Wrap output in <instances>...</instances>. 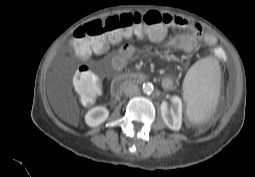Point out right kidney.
<instances>
[{"mask_svg": "<svg viewBox=\"0 0 255 177\" xmlns=\"http://www.w3.org/2000/svg\"><path fill=\"white\" fill-rule=\"evenodd\" d=\"M109 116V111L104 106H96L89 110L85 115V122L90 127H97L102 124Z\"/></svg>", "mask_w": 255, "mask_h": 177, "instance_id": "right-kidney-1", "label": "right kidney"}]
</instances>
